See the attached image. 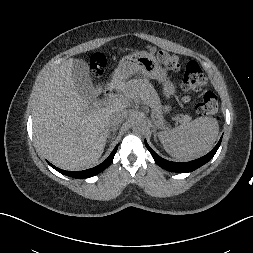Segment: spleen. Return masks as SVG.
Wrapping results in <instances>:
<instances>
[{
	"label": "spleen",
	"mask_w": 253,
	"mask_h": 253,
	"mask_svg": "<svg viewBox=\"0 0 253 253\" xmlns=\"http://www.w3.org/2000/svg\"><path fill=\"white\" fill-rule=\"evenodd\" d=\"M219 133L216 118L199 117L183 122L171 130L158 133L164 149L179 161H189L206 154L215 143Z\"/></svg>",
	"instance_id": "obj_1"
}]
</instances>
